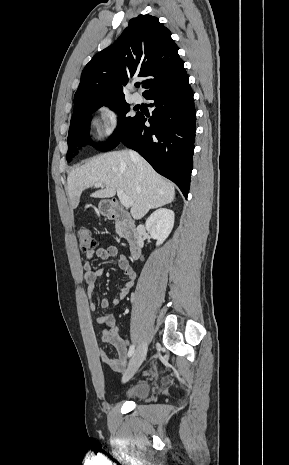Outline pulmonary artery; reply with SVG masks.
Masks as SVG:
<instances>
[{"instance_id": "obj_1", "label": "pulmonary artery", "mask_w": 289, "mask_h": 465, "mask_svg": "<svg viewBox=\"0 0 289 465\" xmlns=\"http://www.w3.org/2000/svg\"><path fill=\"white\" fill-rule=\"evenodd\" d=\"M132 100L135 102V103H140L142 98L141 96L138 94V93H133L132 94Z\"/></svg>"}]
</instances>
